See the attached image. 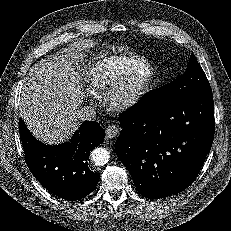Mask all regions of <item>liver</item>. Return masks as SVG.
I'll return each instance as SVG.
<instances>
[{"label":"liver","instance_id":"1","mask_svg":"<svg viewBox=\"0 0 231 231\" xmlns=\"http://www.w3.org/2000/svg\"><path fill=\"white\" fill-rule=\"evenodd\" d=\"M80 44L35 63L24 78L20 116L39 140L58 144L78 129L84 99L75 66L84 58Z\"/></svg>","mask_w":231,"mask_h":231}]
</instances>
